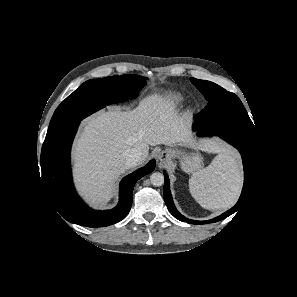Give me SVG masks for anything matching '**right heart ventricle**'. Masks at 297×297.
<instances>
[{"label": "right heart ventricle", "instance_id": "1", "mask_svg": "<svg viewBox=\"0 0 297 297\" xmlns=\"http://www.w3.org/2000/svg\"><path fill=\"white\" fill-rule=\"evenodd\" d=\"M172 102H174V103H176V104H178V103H181L182 102V99L181 98H179V97H177V96H174V97H172Z\"/></svg>", "mask_w": 297, "mask_h": 297}]
</instances>
